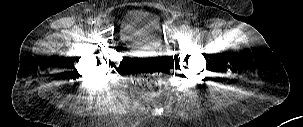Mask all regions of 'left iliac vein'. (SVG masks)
<instances>
[{
	"label": "left iliac vein",
	"instance_id": "obj_1",
	"mask_svg": "<svg viewBox=\"0 0 303 127\" xmlns=\"http://www.w3.org/2000/svg\"><path fill=\"white\" fill-rule=\"evenodd\" d=\"M181 31H182L183 33H191V32H192V29H191L188 25H183V26L181 27Z\"/></svg>",
	"mask_w": 303,
	"mask_h": 127
}]
</instances>
